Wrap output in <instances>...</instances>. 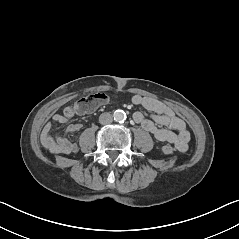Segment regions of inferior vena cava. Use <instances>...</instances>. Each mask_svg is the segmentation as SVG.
<instances>
[{"label": "inferior vena cava", "instance_id": "inferior-vena-cava-1", "mask_svg": "<svg viewBox=\"0 0 239 239\" xmlns=\"http://www.w3.org/2000/svg\"><path fill=\"white\" fill-rule=\"evenodd\" d=\"M113 121V117L110 113L104 112L99 116V123L102 125L111 124Z\"/></svg>", "mask_w": 239, "mask_h": 239}]
</instances>
